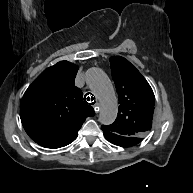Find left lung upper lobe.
I'll list each match as a JSON object with an SVG mask.
<instances>
[{
  "instance_id": "1",
  "label": "left lung upper lobe",
  "mask_w": 193,
  "mask_h": 193,
  "mask_svg": "<svg viewBox=\"0 0 193 193\" xmlns=\"http://www.w3.org/2000/svg\"><path fill=\"white\" fill-rule=\"evenodd\" d=\"M112 78L119 100L116 121L102 130L128 138L133 142L151 129L155 97L153 91L140 72L125 58H110Z\"/></svg>"
}]
</instances>
